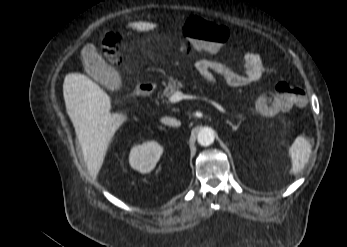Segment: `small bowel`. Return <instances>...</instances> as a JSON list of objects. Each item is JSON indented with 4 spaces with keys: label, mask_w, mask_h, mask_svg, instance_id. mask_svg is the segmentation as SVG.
Returning <instances> with one entry per match:
<instances>
[{
    "label": "small bowel",
    "mask_w": 347,
    "mask_h": 247,
    "mask_svg": "<svg viewBox=\"0 0 347 247\" xmlns=\"http://www.w3.org/2000/svg\"><path fill=\"white\" fill-rule=\"evenodd\" d=\"M195 68L199 75L209 84H215V76H221L231 87H244L259 81L264 75V65L261 56L253 51H247L243 57V72H238L231 66L213 59H199Z\"/></svg>",
    "instance_id": "1"
}]
</instances>
